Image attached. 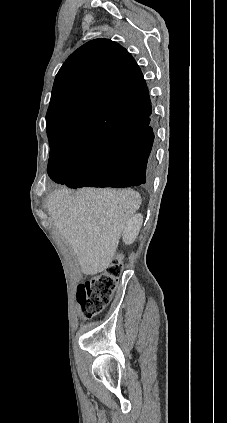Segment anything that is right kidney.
Listing matches in <instances>:
<instances>
[{
	"label": "right kidney",
	"mask_w": 227,
	"mask_h": 423,
	"mask_svg": "<svg viewBox=\"0 0 227 423\" xmlns=\"http://www.w3.org/2000/svg\"><path fill=\"white\" fill-rule=\"evenodd\" d=\"M143 223L142 213H135L130 219H128L123 229V241L126 245H130L135 241Z\"/></svg>",
	"instance_id": "obj_1"
}]
</instances>
